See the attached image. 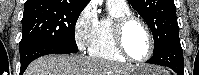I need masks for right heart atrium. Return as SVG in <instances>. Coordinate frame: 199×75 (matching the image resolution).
Wrapping results in <instances>:
<instances>
[{
    "instance_id": "obj_1",
    "label": "right heart atrium",
    "mask_w": 199,
    "mask_h": 75,
    "mask_svg": "<svg viewBox=\"0 0 199 75\" xmlns=\"http://www.w3.org/2000/svg\"><path fill=\"white\" fill-rule=\"evenodd\" d=\"M98 23L96 11L91 6H87L74 25V36L80 50L90 47L97 34Z\"/></svg>"
}]
</instances>
